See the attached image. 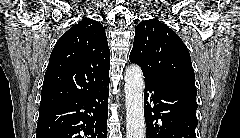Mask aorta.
<instances>
[{
	"label": "aorta",
	"mask_w": 240,
	"mask_h": 138,
	"mask_svg": "<svg viewBox=\"0 0 240 138\" xmlns=\"http://www.w3.org/2000/svg\"><path fill=\"white\" fill-rule=\"evenodd\" d=\"M126 138H145L144 80L141 68L132 64L125 71Z\"/></svg>",
	"instance_id": "762f6f07"
}]
</instances>
